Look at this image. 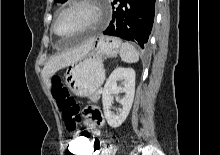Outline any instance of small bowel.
<instances>
[{
	"mask_svg": "<svg viewBox=\"0 0 220 155\" xmlns=\"http://www.w3.org/2000/svg\"><path fill=\"white\" fill-rule=\"evenodd\" d=\"M83 111L87 116V125H89V132L93 136L98 137L101 134V127L104 123L103 116L99 111L98 105H86ZM97 140L98 139L91 140V142H93V147H91V155L97 152L94 149V144Z\"/></svg>",
	"mask_w": 220,
	"mask_h": 155,
	"instance_id": "c3829d8e",
	"label": "small bowel"
}]
</instances>
